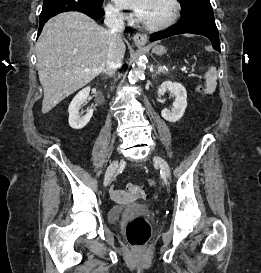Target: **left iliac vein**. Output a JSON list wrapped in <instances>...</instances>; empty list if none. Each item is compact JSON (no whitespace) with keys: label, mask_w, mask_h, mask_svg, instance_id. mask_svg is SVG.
<instances>
[{"label":"left iliac vein","mask_w":261,"mask_h":273,"mask_svg":"<svg viewBox=\"0 0 261 273\" xmlns=\"http://www.w3.org/2000/svg\"><path fill=\"white\" fill-rule=\"evenodd\" d=\"M153 161L159 165L162 174L167 177L170 178L171 176V171H170V167L168 165V163L160 156H154L153 157Z\"/></svg>","instance_id":"left-iliac-vein-1"}]
</instances>
